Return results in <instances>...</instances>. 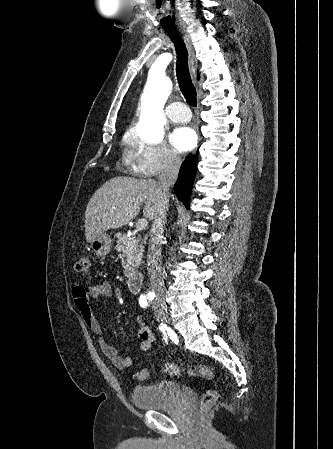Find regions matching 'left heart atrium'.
<instances>
[{
	"label": "left heart atrium",
	"instance_id": "obj_1",
	"mask_svg": "<svg viewBox=\"0 0 333 449\" xmlns=\"http://www.w3.org/2000/svg\"><path fill=\"white\" fill-rule=\"evenodd\" d=\"M195 131L187 126H180L173 130L170 135V142L178 152L191 150L196 144Z\"/></svg>",
	"mask_w": 333,
	"mask_h": 449
}]
</instances>
